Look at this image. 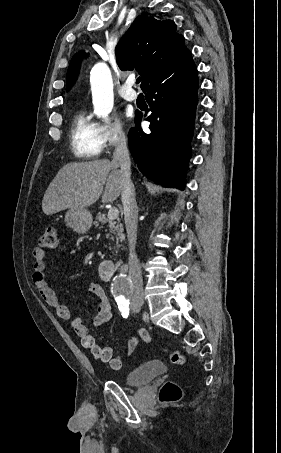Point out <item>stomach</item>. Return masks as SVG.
<instances>
[{
  "label": "stomach",
  "instance_id": "0dacf381",
  "mask_svg": "<svg viewBox=\"0 0 281 453\" xmlns=\"http://www.w3.org/2000/svg\"><path fill=\"white\" fill-rule=\"evenodd\" d=\"M66 227L73 229L75 233L84 235L89 231L92 224V214L87 208H70L65 216Z\"/></svg>",
  "mask_w": 281,
  "mask_h": 453
}]
</instances>
